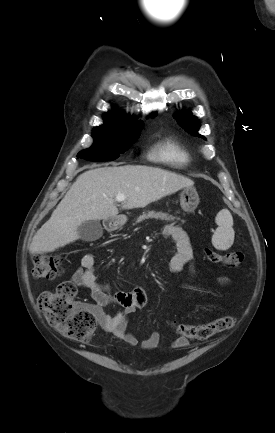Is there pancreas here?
Returning a JSON list of instances; mask_svg holds the SVG:
<instances>
[{"mask_svg":"<svg viewBox=\"0 0 275 433\" xmlns=\"http://www.w3.org/2000/svg\"><path fill=\"white\" fill-rule=\"evenodd\" d=\"M149 218L160 219L162 221H167V222L180 220V218L169 215L167 213L149 211L148 213H143L141 216H139L136 220V223H140L143 220L149 219Z\"/></svg>","mask_w":275,"mask_h":433,"instance_id":"obj_1","label":"pancreas"}]
</instances>
